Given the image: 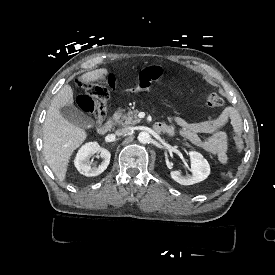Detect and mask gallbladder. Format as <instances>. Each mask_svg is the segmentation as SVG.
<instances>
[{
	"label": "gallbladder",
	"mask_w": 275,
	"mask_h": 275,
	"mask_svg": "<svg viewBox=\"0 0 275 275\" xmlns=\"http://www.w3.org/2000/svg\"><path fill=\"white\" fill-rule=\"evenodd\" d=\"M62 116L71 124L80 128H91L94 120L85 115L80 109L74 105L64 106L60 110Z\"/></svg>",
	"instance_id": "gallbladder-1"
}]
</instances>
